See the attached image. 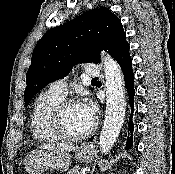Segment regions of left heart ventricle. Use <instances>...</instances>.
Listing matches in <instances>:
<instances>
[{"mask_svg":"<svg viewBox=\"0 0 175 174\" xmlns=\"http://www.w3.org/2000/svg\"><path fill=\"white\" fill-rule=\"evenodd\" d=\"M91 122L87 118L81 103L68 106L63 114V127L70 134H80L86 131Z\"/></svg>","mask_w":175,"mask_h":174,"instance_id":"1","label":"left heart ventricle"}]
</instances>
